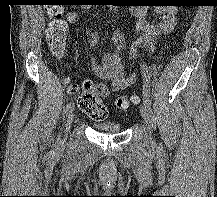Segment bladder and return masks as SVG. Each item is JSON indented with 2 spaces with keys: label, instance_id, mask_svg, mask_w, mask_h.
Returning a JSON list of instances; mask_svg holds the SVG:
<instances>
[{
  "label": "bladder",
  "instance_id": "obj_1",
  "mask_svg": "<svg viewBox=\"0 0 217 197\" xmlns=\"http://www.w3.org/2000/svg\"><path fill=\"white\" fill-rule=\"evenodd\" d=\"M94 127L106 133L116 134L121 131V125L118 122H98Z\"/></svg>",
  "mask_w": 217,
  "mask_h": 197
}]
</instances>
